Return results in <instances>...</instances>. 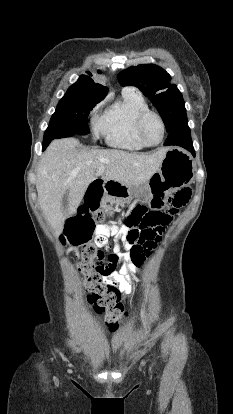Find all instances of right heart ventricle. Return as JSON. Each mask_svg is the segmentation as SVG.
<instances>
[{"mask_svg":"<svg viewBox=\"0 0 233 414\" xmlns=\"http://www.w3.org/2000/svg\"><path fill=\"white\" fill-rule=\"evenodd\" d=\"M149 110L144 97L133 89H124L119 101L108 107L96 124L97 131L115 148L138 151L147 148L137 131V119Z\"/></svg>","mask_w":233,"mask_h":414,"instance_id":"right-heart-ventricle-1","label":"right heart ventricle"}]
</instances>
